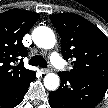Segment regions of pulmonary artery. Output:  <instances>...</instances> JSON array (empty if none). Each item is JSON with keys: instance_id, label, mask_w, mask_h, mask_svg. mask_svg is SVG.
<instances>
[{"instance_id": "pulmonary-artery-1", "label": "pulmonary artery", "mask_w": 108, "mask_h": 108, "mask_svg": "<svg viewBox=\"0 0 108 108\" xmlns=\"http://www.w3.org/2000/svg\"><path fill=\"white\" fill-rule=\"evenodd\" d=\"M51 61L57 68L62 69L64 67V62L57 53L51 54Z\"/></svg>"}]
</instances>
